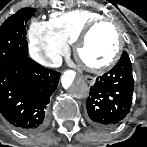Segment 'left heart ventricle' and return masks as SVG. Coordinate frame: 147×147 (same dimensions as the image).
<instances>
[{
	"instance_id": "obj_1",
	"label": "left heart ventricle",
	"mask_w": 147,
	"mask_h": 147,
	"mask_svg": "<svg viewBox=\"0 0 147 147\" xmlns=\"http://www.w3.org/2000/svg\"><path fill=\"white\" fill-rule=\"evenodd\" d=\"M117 35L110 26L99 27L90 35L82 55L90 63L104 62L114 51Z\"/></svg>"
}]
</instances>
